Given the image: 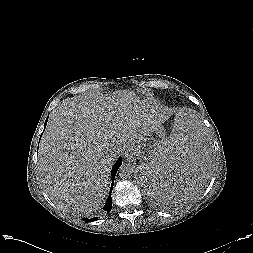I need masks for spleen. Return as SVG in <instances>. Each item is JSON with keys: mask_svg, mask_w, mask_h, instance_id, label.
<instances>
[{"mask_svg": "<svg viewBox=\"0 0 253 253\" xmlns=\"http://www.w3.org/2000/svg\"><path fill=\"white\" fill-rule=\"evenodd\" d=\"M207 124L195 112H182L171 122L167 136L139 173L142 189L158 203L177 204L203 191L214 160Z\"/></svg>", "mask_w": 253, "mask_h": 253, "instance_id": "obj_1", "label": "spleen"}]
</instances>
